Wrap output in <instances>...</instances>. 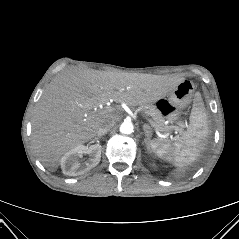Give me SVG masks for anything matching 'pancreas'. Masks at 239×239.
<instances>
[{"mask_svg": "<svg viewBox=\"0 0 239 239\" xmlns=\"http://www.w3.org/2000/svg\"><path fill=\"white\" fill-rule=\"evenodd\" d=\"M145 112L147 115L152 117V122L155 125V127L164 128V125H163L164 118L159 111L150 109V110H146Z\"/></svg>", "mask_w": 239, "mask_h": 239, "instance_id": "pancreas-1", "label": "pancreas"}]
</instances>
